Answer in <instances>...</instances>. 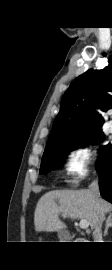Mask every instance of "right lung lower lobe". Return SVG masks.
I'll list each match as a JSON object with an SVG mask.
<instances>
[{"mask_svg": "<svg viewBox=\"0 0 112 270\" xmlns=\"http://www.w3.org/2000/svg\"><path fill=\"white\" fill-rule=\"evenodd\" d=\"M101 195L112 203V148L107 152L103 162L97 168Z\"/></svg>", "mask_w": 112, "mask_h": 270, "instance_id": "right-lung-lower-lobe-1", "label": "right lung lower lobe"}]
</instances>
